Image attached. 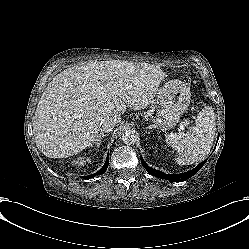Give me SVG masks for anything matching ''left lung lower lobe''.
Masks as SVG:
<instances>
[{
    "mask_svg": "<svg viewBox=\"0 0 249 249\" xmlns=\"http://www.w3.org/2000/svg\"><path fill=\"white\" fill-rule=\"evenodd\" d=\"M205 162H206V160L201 162L194 169H192L188 172L176 174V175H170V174L162 173L158 170H155V169L149 167L141 157V163L144 166V168L147 170V172H149L151 175H153L155 177H159L161 179H166V180H170V181H183V180H186V179L192 177L194 174H196L203 167Z\"/></svg>",
    "mask_w": 249,
    "mask_h": 249,
    "instance_id": "0a47b994",
    "label": "left lung lower lobe"
}]
</instances>
